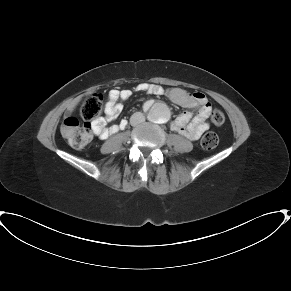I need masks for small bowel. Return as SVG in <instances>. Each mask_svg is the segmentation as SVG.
Instances as JSON below:
<instances>
[{"label":"small bowel","instance_id":"c3829d8e","mask_svg":"<svg viewBox=\"0 0 291 291\" xmlns=\"http://www.w3.org/2000/svg\"><path fill=\"white\" fill-rule=\"evenodd\" d=\"M136 90L152 95L165 96L175 104L185 108L193 109L197 106H201L197 113H194L191 110L182 112L175 117L170 124L173 131L185 136L186 138L197 140L209 129V122L207 119L210 105L207 103L206 97L203 93L197 92L189 94L179 87L165 89L153 83H139L136 86ZM131 95L132 92L129 89L111 90L108 94L105 106L106 119L111 120L115 118L123 108L119 101L127 100ZM126 124L127 122L125 120H121L119 123L107 127L104 122L100 120L93 124V130L99 139L105 140L110 135L124 129Z\"/></svg>","mask_w":291,"mask_h":291}]
</instances>
